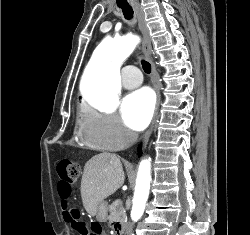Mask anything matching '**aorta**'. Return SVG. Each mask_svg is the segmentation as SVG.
<instances>
[{"label": "aorta", "mask_w": 250, "mask_h": 235, "mask_svg": "<svg viewBox=\"0 0 250 235\" xmlns=\"http://www.w3.org/2000/svg\"><path fill=\"white\" fill-rule=\"evenodd\" d=\"M140 39L127 35L118 42L103 40L95 49L86 69L87 81L82 93L85 99L103 108H110L118 101L120 91L119 65L132 53ZM151 182L150 158L141 161L133 197L131 219L138 221L143 215Z\"/></svg>", "instance_id": "1"}]
</instances>
